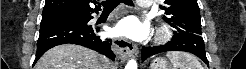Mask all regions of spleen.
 <instances>
[{"mask_svg": "<svg viewBox=\"0 0 246 69\" xmlns=\"http://www.w3.org/2000/svg\"><path fill=\"white\" fill-rule=\"evenodd\" d=\"M173 69H203L201 63L191 54L186 52H169L166 55Z\"/></svg>", "mask_w": 246, "mask_h": 69, "instance_id": "spleen-1", "label": "spleen"}]
</instances>
